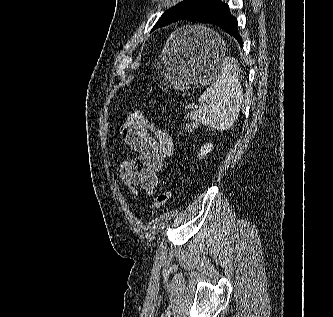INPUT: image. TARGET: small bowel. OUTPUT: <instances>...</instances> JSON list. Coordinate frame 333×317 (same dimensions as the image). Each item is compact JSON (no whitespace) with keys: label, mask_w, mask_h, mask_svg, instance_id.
I'll use <instances>...</instances> for the list:
<instances>
[{"label":"small bowel","mask_w":333,"mask_h":317,"mask_svg":"<svg viewBox=\"0 0 333 317\" xmlns=\"http://www.w3.org/2000/svg\"><path fill=\"white\" fill-rule=\"evenodd\" d=\"M123 141L138 154L120 163L119 179L129 192L137 196L139 188L148 196L156 192L158 175L173 154L174 140L169 130L152 123L143 112L128 114L120 128Z\"/></svg>","instance_id":"obj_1"}]
</instances>
